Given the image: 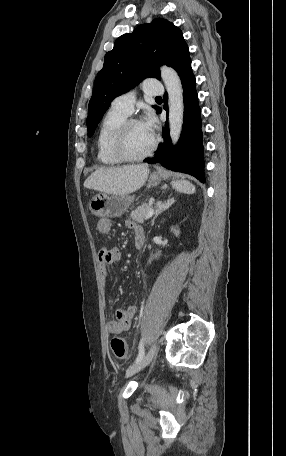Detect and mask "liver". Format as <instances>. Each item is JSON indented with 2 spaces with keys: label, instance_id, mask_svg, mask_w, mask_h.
Returning <instances> with one entry per match:
<instances>
[{
  "label": "liver",
  "instance_id": "obj_1",
  "mask_svg": "<svg viewBox=\"0 0 286 456\" xmlns=\"http://www.w3.org/2000/svg\"><path fill=\"white\" fill-rule=\"evenodd\" d=\"M148 175L149 168L146 164L100 168L85 180L84 187L108 194L124 195L140 189Z\"/></svg>",
  "mask_w": 286,
  "mask_h": 456
}]
</instances>
